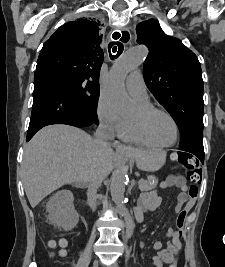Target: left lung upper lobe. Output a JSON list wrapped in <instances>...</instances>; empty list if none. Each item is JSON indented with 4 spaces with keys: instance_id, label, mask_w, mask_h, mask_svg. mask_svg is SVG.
<instances>
[{
    "instance_id": "obj_1",
    "label": "left lung upper lobe",
    "mask_w": 225,
    "mask_h": 267,
    "mask_svg": "<svg viewBox=\"0 0 225 267\" xmlns=\"http://www.w3.org/2000/svg\"><path fill=\"white\" fill-rule=\"evenodd\" d=\"M137 42L149 48L145 82L178 125L180 147L203 144V80L198 58L182 41L167 36L154 19L138 24Z\"/></svg>"
}]
</instances>
